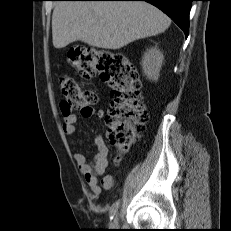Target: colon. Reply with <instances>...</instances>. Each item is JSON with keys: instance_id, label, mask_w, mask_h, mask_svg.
I'll list each match as a JSON object with an SVG mask.
<instances>
[{"instance_id": "obj_1", "label": "colon", "mask_w": 231, "mask_h": 231, "mask_svg": "<svg viewBox=\"0 0 231 231\" xmlns=\"http://www.w3.org/2000/svg\"><path fill=\"white\" fill-rule=\"evenodd\" d=\"M69 59L82 78L92 79L99 74L110 87L109 139L121 152H127L148 121L136 69L122 52L103 48L71 50ZM59 83L64 97L61 108L65 115L73 110L91 109L98 101L94 91L83 88L69 76H61Z\"/></svg>"}]
</instances>
